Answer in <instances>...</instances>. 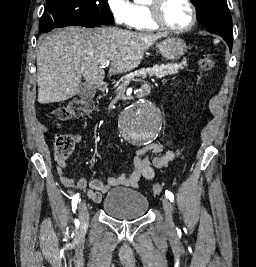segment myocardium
I'll return each mask as SVG.
<instances>
[{"instance_id":"obj_1","label":"myocardium","mask_w":256,"mask_h":267,"mask_svg":"<svg viewBox=\"0 0 256 267\" xmlns=\"http://www.w3.org/2000/svg\"><path fill=\"white\" fill-rule=\"evenodd\" d=\"M166 1L168 0H150V11L148 13L147 18L144 21L150 23L152 25V29L146 32L160 30V31L172 33V34H185L191 31L195 27L196 22H197L196 10L193 4L189 0H180L189 7L190 12H191V22L185 28L175 29L171 27L170 25L166 24L161 17L163 4Z\"/></svg>"}]
</instances>
